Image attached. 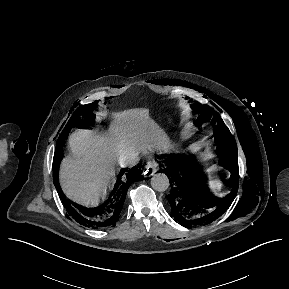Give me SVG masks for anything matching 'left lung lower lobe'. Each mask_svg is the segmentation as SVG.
Instances as JSON below:
<instances>
[{"label":"left lung lower lobe","instance_id":"0a47b994","mask_svg":"<svg viewBox=\"0 0 289 289\" xmlns=\"http://www.w3.org/2000/svg\"><path fill=\"white\" fill-rule=\"evenodd\" d=\"M192 157L186 154H170L163 171L172 186L167 196L171 215L184 227L207 225L219 218L234 200L238 190V166L230 167L232 191L224 198L201 195L192 180Z\"/></svg>","mask_w":289,"mask_h":289}]
</instances>
